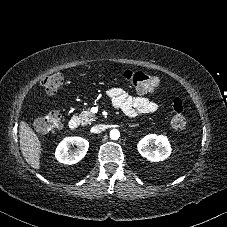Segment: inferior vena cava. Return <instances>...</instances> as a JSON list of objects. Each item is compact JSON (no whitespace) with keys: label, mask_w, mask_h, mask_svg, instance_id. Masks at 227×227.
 Instances as JSON below:
<instances>
[{"label":"inferior vena cava","mask_w":227,"mask_h":227,"mask_svg":"<svg viewBox=\"0 0 227 227\" xmlns=\"http://www.w3.org/2000/svg\"><path fill=\"white\" fill-rule=\"evenodd\" d=\"M104 129H105V127H104V125H102V124H99V125H96V126H93L92 128H91V131L93 132V133H101L102 131H104Z\"/></svg>","instance_id":"inferior-vena-cava-1"}]
</instances>
